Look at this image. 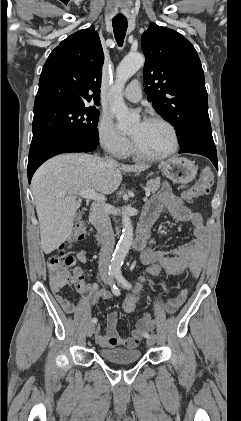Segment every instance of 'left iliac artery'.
Here are the masks:
<instances>
[{
    "mask_svg": "<svg viewBox=\"0 0 241 421\" xmlns=\"http://www.w3.org/2000/svg\"><path fill=\"white\" fill-rule=\"evenodd\" d=\"M115 277L119 284H121L124 288L130 289L132 286L131 284L123 277L122 272L120 269L115 270ZM150 335L145 333V337L148 338Z\"/></svg>",
    "mask_w": 241,
    "mask_h": 421,
    "instance_id": "obj_1",
    "label": "left iliac artery"
}]
</instances>
